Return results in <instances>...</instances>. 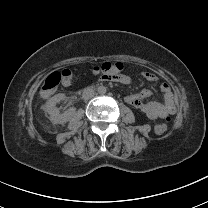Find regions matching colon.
Segmentation results:
<instances>
[{
	"instance_id": "obj_1",
	"label": "colon",
	"mask_w": 208,
	"mask_h": 208,
	"mask_svg": "<svg viewBox=\"0 0 208 208\" xmlns=\"http://www.w3.org/2000/svg\"><path fill=\"white\" fill-rule=\"evenodd\" d=\"M123 71V64L120 61H110L97 63L92 66V73L97 76L104 75H118L120 76ZM73 79V73L70 69L65 68L58 72L51 73L45 80L43 85V91L52 92L55 91L61 84H69ZM169 129V122L163 121L155 125L154 131L158 135L165 134Z\"/></svg>"
}]
</instances>
